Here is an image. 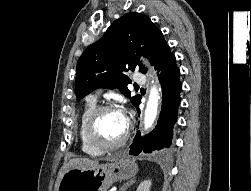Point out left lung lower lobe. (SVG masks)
<instances>
[{"label":"left lung lower lobe","mask_w":251,"mask_h":191,"mask_svg":"<svg viewBox=\"0 0 251 191\" xmlns=\"http://www.w3.org/2000/svg\"><path fill=\"white\" fill-rule=\"evenodd\" d=\"M159 80L161 82L163 96L162 108L157 127L145 137L138 132L133 140L129 154L152 153L156 150L169 148L172 143L173 126L177 121V112L180 105L181 82L179 80L180 70L176 65L174 54L168 49L157 62ZM139 101L135 104L140 114Z\"/></svg>","instance_id":"1"}]
</instances>
